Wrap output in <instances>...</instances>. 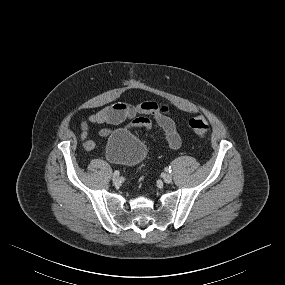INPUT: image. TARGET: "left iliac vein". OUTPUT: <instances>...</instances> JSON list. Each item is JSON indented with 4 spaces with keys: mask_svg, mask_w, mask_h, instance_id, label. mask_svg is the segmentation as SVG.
<instances>
[{
    "mask_svg": "<svg viewBox=\"0 0 285 285\" xmlns=\"http://www.w3.org/2000/svg\"><path fill=\"white\" fill-rule=\"evenodd\" d=\"M163 180L165 183H171L172 182V176L169 174L164 175Z\"/></svg>",
    "mask_w": 285,
    "mask_h": 285,
    "instance_id": "obj_1",
    "label": "left iliac vein"
}]
</instances>
